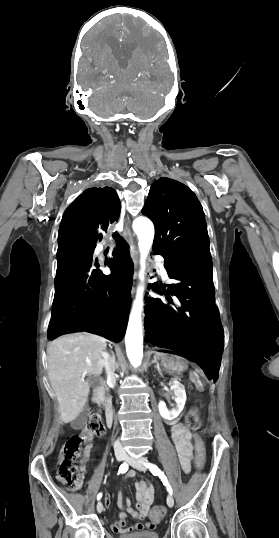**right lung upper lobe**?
Instances as JSON below:
<instances>
[{"label":"right lung upper lobe","instance_id":"1","mask_svg":"<svg viewBox=\"0 0 279 538\" xmlns=\"http://www.w3.org/2000/svg\"><path fill=\"white\" fill-rule=\"evenodd\" d=\"M98 333H100V334H104V333H101V332H98ZM104 335H106V334H104Z\"/></svg>","mask_w":279,"mask_h":538}]
</instances>
